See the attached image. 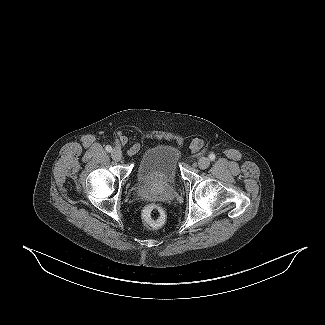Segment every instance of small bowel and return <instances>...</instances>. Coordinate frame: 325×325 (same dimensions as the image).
<instances>
[{
  "label": "small bowel",
  "instance_id": "1",
  "mask_svg": "<svg viewBox=\"0 0 325 325\" xmlns=\"http://www.w3.org/2000/svg\"><path fill=\"white\" fill-rule=\"evenodd\" d=\"M120 141H121V143H125V139L124 138H121ZM134 150H135V148H132L131 149V151H134Z\"/></svg>",
  "mask_w": 325,
  "mask_h": 325
}]
</instances>
